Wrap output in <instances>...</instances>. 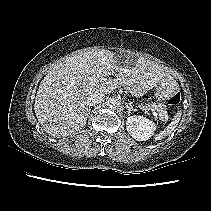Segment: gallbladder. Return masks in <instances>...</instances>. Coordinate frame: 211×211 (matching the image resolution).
<instances>
[{
	"label": "gallbladder",
	"mask_w": 211,
	"mask_h": 211,
	"mask_svg": "<svg viewBox=\"0 0 211 211\" xmlns=\"http://www.w3.org/2000/svg\"><path fill=\"white\" fill-rule=\"evenodd\" d=\"M125 54V53H124ZM117 56H121V54L120 53H117Z\"/></svg>",
	"instance_id": "gallbladder-1"
}]
</instances>
